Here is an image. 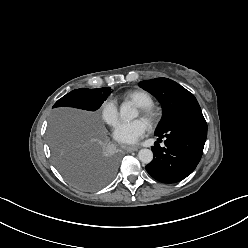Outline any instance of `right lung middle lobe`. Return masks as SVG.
<instances>
[{"label": "right lung middle lobe", "mask_w": 248, "mask_h": 248, "mask_svg": "<svg viewBox=\"0 0 248 248\" xmlns=\"http://www.w3.org/2000/svg\"><path fill=\"white\" fill-rule=\"evenodd\" d=\"M110 94V87L76 89L59 99L53 108L66 106L96 111ZM95 126L88 119L77 121L67 129L57 126L50 134V147L56 167L70 183L88 191L107 185L117 169L115 158L97 154L100 133L94 131Z\"/></svg>", "instance_id": "obj_1"}]
</instances>
